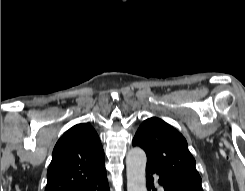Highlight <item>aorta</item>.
<instances>
[{"mask_svg":"<svg viewBox=\"0 0 245 191\" xmlns=\"http://www.w3.org/2000/svg\"><path fill=\"white\" fill-rule=\"evenodd\" d=\"M146 154L139 148H132L126 156L127 191H147L146 188Z\"/></svg>","mask_w":245,"mask_h":191,"instance_id":"762f6f07","label":"aorta"}]
</instances>
